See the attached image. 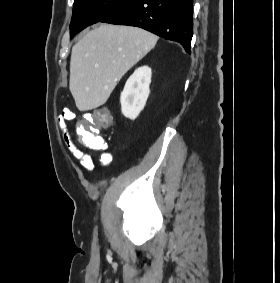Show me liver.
Returning a JSON list of instances; mask_svg holds the SVG:
<instances>
[{
	"mask_svg": "<svg viewBox=\"0 0 280 283\" xmlns=\"http://www.w3.org/2000/svg\"><path fill=\"white\" fill-rule=\"evenodd\" d=\"M137 27L100 24L72 48L69 89L80 111L106 103L123 75L156 45Z\"/></svg>",
	"mask_w": 280,
	"mask_h": 283,
	"instance_id": "1",
	"label": "liver"
}]
</instances>
